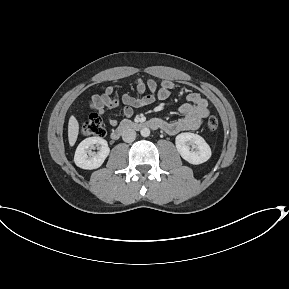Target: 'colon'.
<instances>
[{"mask_svg":"<svg viewBox=\"0 0 289 289\" xmlns=\"http://www.w3.org/2000/svg\"><path fill=\"white\" fill-rule=\"evenodd\" d=\"M206 126L210 132H214L219 126V121L215 116H211L208 118ZM81 133L84 136H103L105 134V129L101 118L98 115H92L82 125Z\"/></svg>","mask_w":289,"mask_h":289,"instance_id":"1","label":"colon"}]
</instances>
